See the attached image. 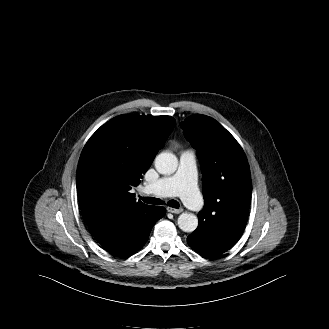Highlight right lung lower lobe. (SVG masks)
Returning a JSON list of instances; mask_svg holds the SVG:
<instances>
[{
    "instance_id": "1",
    "label": "right lung lower lobe",
    "mask_w": 329,
    "mask_h": 329,
    "mask_svg": "<svg viewBox=\"0 0 329 329\" xmlns=\"http://www.w3.org/2000/svg\"><path fill=\"white\" fill-rule=\"evenodd\" d=\"M166 213L164 207L148 206L102 215L88 225L90 233L111 254L121 256L140 249L154 224Z\"/></svg>"
}]
</instances>
